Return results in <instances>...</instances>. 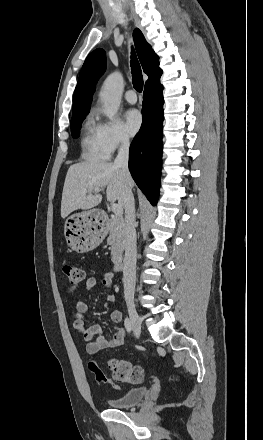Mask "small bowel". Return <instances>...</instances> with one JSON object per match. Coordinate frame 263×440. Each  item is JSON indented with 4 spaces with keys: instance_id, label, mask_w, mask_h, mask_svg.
<instances>
[{
    "instance_id": "small-bowel-1",
    "label": "small bowel",
    "mask_w": 263,
    "mask_h": 440,
    "mask_svg": "<svg viewBox=\"0 0 263 440\" xmlns=\"http://www.w3.org/2000/svg\"><path fill=\"white\" fill-rule=\"evenodd\" d=\"M100 282L106 288H112L114 283V273L106 272L100 278L97 276H90L85 282V291L90 293L97 283ZM116 296L114 293H109L105 297V301L113 302ZM74 328L80 337L86 342V351L90 355H94L100 350L108 348H116L123 345L125 340V329L120 328L111 339H106L103 336L102 328L98 324L90 326L86 325L85 315L89 310V303L86 300H77L75 302ZM110 319L114 323L122 321V313L119 310H114L110 313Z\"/></svg>"
}]
</instances>
